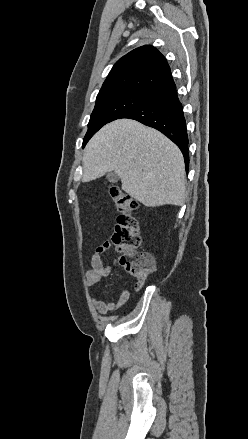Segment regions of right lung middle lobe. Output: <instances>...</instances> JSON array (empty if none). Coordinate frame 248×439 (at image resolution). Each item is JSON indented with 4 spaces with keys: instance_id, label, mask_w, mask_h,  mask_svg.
<instances>
[{
    "instance_id": "right-lung-middle-lobe-1",
    "label": "right lung middle lobe",
    "mask_w": 248,
    "mask_h": 439,
    "mask_svg": "<svg viewBox=\"0 0 248 439\" xmlns=\"http://www.w3.org/2000/svg\"><path fill=\"white\" fill-rule=\"evenodd\" d=\"M150 96L135 92H118L98 97L83 139V147L105 124L120 119L125 113L140 105Z\"/></svg>"
}]
</instances>
